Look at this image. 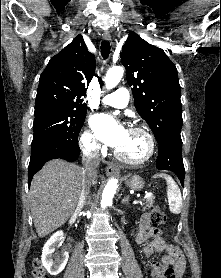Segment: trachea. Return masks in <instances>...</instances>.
Returning <instances> with one entry per match:
<instances>
[{
	"label": "trachea",
	"mask_w": 221,
	"mask_h": 278,
	"mask_svg": "<svg viewBox=\"0 0 221 278\" xmlns=\"http://www.w3.org/2000/svg\"><path fill=\"white\" fill-rule=\"evenodd\" d=\"M110 43L108 41H103L101 43V55L103 57V59H107L109 54H110Z\"/></svg>",
	"instance_id": "1"
}]
</instances>
